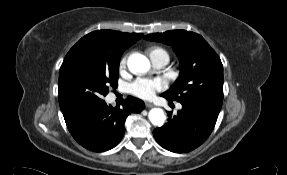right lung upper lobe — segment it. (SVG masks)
Wrapping results in <instances>:
<instances>
[{
    "label": "right lung upper lobe",
    "instance_id": "obj_1",
    "mask_svg": "<svg viewBox=\"0 0 287 175\" xmlns=\"http://www.w3.org/2000/svg\"><path fill=\"white\" fill-rule=\"evenodd\" d=\"M143 34L140 33H122L119 31L112 30H99L94 31L81 40H90L93 48L98 53H115L122 52L128 47L133 45L139 40Z\"/></svg>",
    "mask_w": 287,
    "mask_h": 175
}]
</instances>
